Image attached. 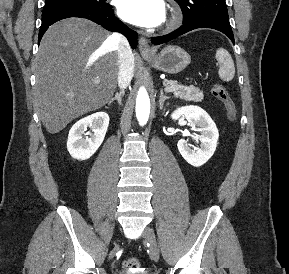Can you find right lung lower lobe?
<instances>
[{
    "label": "right lung lower lobe",
    "instance_id": "1",
    "mask_svg": "<svg viewBox=\"0 0 289 274\" xmlns=\"http://www.w3.org/2000/svg\"><path fill=\"white\" fill-rule=\"evenodd\" d=\"M70 17H80L89 19L107 30L122 33L129 41L133 49L137 46L138 34L129 29L122 21L114 16V11L110 4L102 7H90L83 5H62L43 9L42 24L39 31L38 42L43 34L53 23Z\"/></svg>",
    "mask_w": 289,
    "mask_h": 274
}]
</instances>
